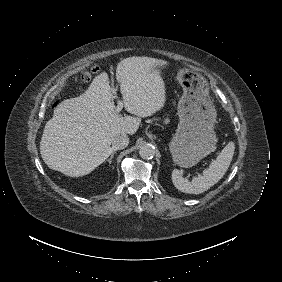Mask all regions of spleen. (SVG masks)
<instances>
[{
	"label": "spleen",
	"instance_id": "obj_1",
	"mask_svg": "<svg viewBox=\"0 0 282 282\" xmlns=\"http://www.w3.org/2000/svg\"><path fill=\"white\" fill-rule=\"evenodd\" d=\"M235 151V142L229 141L217 158L204 170L203 175L190 181L181 169H174L172 179L176 188L187 194H200L219 182L229 168Z\"/></svg>",
	"mask_w": 282,
	"mask_h": 282
}]
</instances>
